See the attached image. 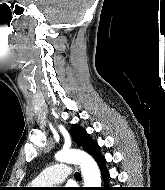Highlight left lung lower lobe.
Segmentation results:
<instances>
[{"instance_id":"obj_1","label":"left lung lower lobe","mask_w":165,"mask_h":190,"mask_svg":"<svg viewBox=\"0 0 165 190\" xmlns=\"http://www.w3.org/2000/svg\"><path fill=\"white\" fill-rule=\"evenodd\" d=\"M97 163L99 164V167H100V170H101V174H102V177L104 179V181L108 180V177H109V173L107 172V170L105 169L104 165L106 163V160L104 157H101L97 160ZM103 190H110L111 188L109 187H104L102 188Z\"/></svg>"}]
</instances>
